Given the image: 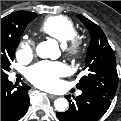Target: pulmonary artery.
I'll return each mask as SVG.
<instances>
[{
	"label": "pulmonary artery",
	"mask_w": 121,
	"mask_h": 121,
	"mask_svg": "<svg viewBox=\"0 0 121 121\" xmlns=\"http://www.w3.org/2000/svg\"><path fill=\"white\" fill-rule=\"evenodd\" d=\"M77 95H81V91H79V92L77 93Z\"/></svg>",
	"instance_id": "1"
}]
</instances>
